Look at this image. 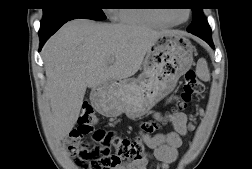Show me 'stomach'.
<instances>
[{
  "instance_id": "1",
  "label": "stomach",
  "mask_w": 252,
  "mask_h": 169,
  "mask_svg": "<svg viewBox=\"0 0 252 169\" xmlns=\"http://www.w3.org/2000/svg\"><path fill=\"white\" fill-rule=\"evenodd\" d=\"M194 47L181 33H167L150 47L138 78L111 81L94 89L92 102L98 112L130 118L146 114L175 88L193 63Z\"/></svg>"
}]
</instances>
